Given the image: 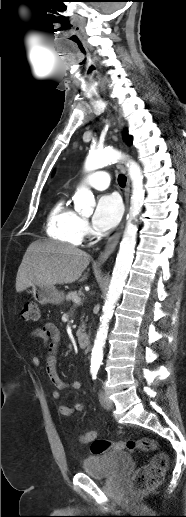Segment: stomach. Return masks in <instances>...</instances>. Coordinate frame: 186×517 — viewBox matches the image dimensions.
I'll return each mask as SVG.
<instances>
[{
    "label": "stomach",
    "instance_id": "stomach-1",
    "mask_svg": "<svg viewBox=\"0 0 186 517\" xmlns=\"http://www.w3.org/2000/svg\"><path fill=\"white\" fill-rule=\"evenodd\" d=\"M31 293L34 299L40 304H61L64 300V293L58 291L53 285L33 286Z\"/></svg>",
    "mask_w": 186,
    "mask_h": 517
}]
</instances>
